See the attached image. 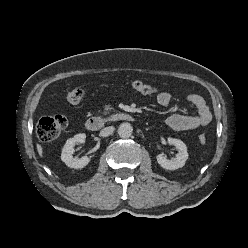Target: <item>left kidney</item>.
<instances>
[{
  "label": "left kidney",
  "instance_id": "5707ae66",
  "mask_svg": "<svg viewBox=\"0 0 248 248\" xmlns=\"http://www.w3.org/2000/svg\"><path fill=\"white\" fill-rule=\"evenodd\" d=\"M169 145H174L178 149L175 158L169 160L163 154L157 156L158 164L166 170H176L183 167L188 159V152L186 144L175 138L169 137L167 139Z\"/></svg>",
  "mask_w": 248,
  "mask_h": 248
}]
</instances>
